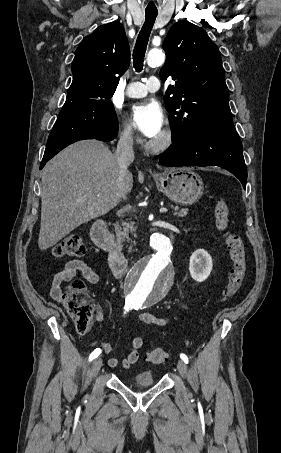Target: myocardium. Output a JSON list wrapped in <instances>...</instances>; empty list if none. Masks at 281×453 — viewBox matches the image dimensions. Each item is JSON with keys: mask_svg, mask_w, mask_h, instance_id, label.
<instances>
[{"mask_svg": "<svg viewBox=\"0 0 281 453\" xmlns=\"http://www.w3.org/2000/svg\"><path fill=\"white\" fill-rule=\"evenodd\" d=\"M174 132L169 127L163 128V135L160 140L149 139L144 143V148L152 153H159L168 150L174 142Z\"/></svg>", "mask_w": 281, "mask_h": 453, "instance_id": "myocardium-1", "label": "myocardium"}]
</instances>
